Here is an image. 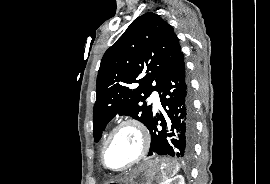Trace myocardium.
Wrapping results in <instances>:
<instances>
[{
    "label": "myocardium",
    "instance_id": "f54148a6",
    "mask_svg": "<svg viewBox=\"0 0 270 184\" xmlns=\"http://www.w3.org/2000/svg\"><path fill=\"white\" fill-rule=\"evenodd\" d=\"M125 126H131L138 132V134L140 136V140H141V149H140V152L137 155V157L134 160H132L129 164H127L121 168H111L106 163V151H107L111 141L113 140L114 136L118 133V131L120 129H122ZM149 147H150V137H149V133H148L146 127L143 125V123L136 118H126V119L122 120L121 122H119L109 133V135H108V137H107V139L102 147V150H101L102 165L107 170H110L113 172H122V171L128 170L144 159V157L148 153Z\"/></svg>",
    "mask_w": 270,
    "mask_h": 184
}]
</instances>
